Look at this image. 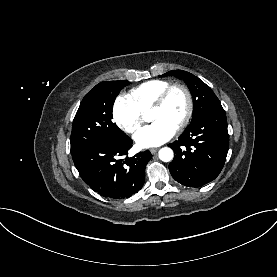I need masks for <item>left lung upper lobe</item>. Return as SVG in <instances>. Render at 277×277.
Here are the masks:
<instances>
[{
  "label": "left lung upper lobe",
  "instance_id": "obj_1",
  "mask_svg": "<svg viewBox=\"0 0 277 277\" xmlns=\"http://www.w3.org/2000/svg\"><path fill=\"white\" fill-rule=\"evenodd\" d=\"M161 76H175L184 80V82L187 84L194 100V113L191 123L199 119L203 114L213 107L221 105L219 99L216 97L212 89L198 77L189 72L182 70H172Z\"/></svg>",
  "mask_w": 277,
  "mask_h": 277
}]
</instances>
